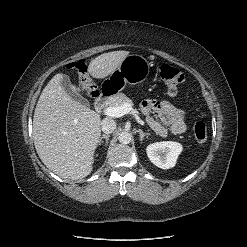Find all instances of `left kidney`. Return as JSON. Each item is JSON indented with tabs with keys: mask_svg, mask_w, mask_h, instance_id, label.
<instances>
[{
	"mask_svg": "<svg viewBox=\"0 0 247 247\" xmlns=\"http://www.w3.org/2000/svg\"><path fill=\"white\" fill-rule=\"evenodd\" d=\"M182 145L177 142L163 141L147 146V155L150 161L161 169H169L175 166Z\"/></svg>",
	"mask_w": 247,
	"mask_h": 247,
	"instance_id": "left-kidney-1",
	"label": "left kidney"
}]
</instances>
